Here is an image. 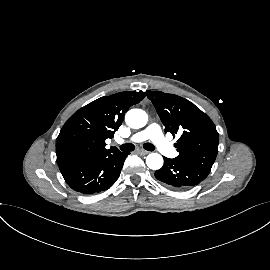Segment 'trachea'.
I'll return each mask as SVG.
<instances>
[{
  "label": "trachea",
  "mask_w": 270,
  "mask_h": 270,
  "mask_svg": "<svg viewBox=\"0 0 270 270\" xmlns=\"http://www.w3.org/2000/svg\"><path fill=\"white\" fill-rule=\"evenodd\" d=\"M143 147L145 150H148V151H153L155 149L154 145L151 143H145ZM134 148H135L134 145L131 143H126L120 146L121 151H126V152L133 151Z\"/></svg>",
  "instance_id": "obj_1"
}]
</instances>
